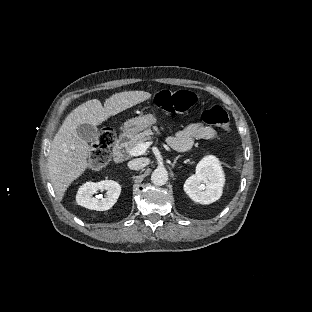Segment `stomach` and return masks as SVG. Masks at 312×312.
I'll list each match as a JSON object with an SVG mask.
<instances>
[{
	"label": "stomach",
	"instance_id": "stomach-1",
	"mask_svg": "<svg viewBox=\"0 0 312 312\" xmlns=\"http://www.w3.org/2000/svg\"><path fill=\"white\" fill-rule=\"evenodd\" d=\"M156 122V118L152 114L138 116L127 120L124 123L123 131L129 136H134L138 132L146 129Z\"/></svg>",
	"mask_w": 312,
	"mask_h": 312
}]
</instances>
